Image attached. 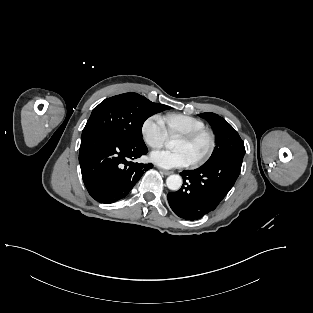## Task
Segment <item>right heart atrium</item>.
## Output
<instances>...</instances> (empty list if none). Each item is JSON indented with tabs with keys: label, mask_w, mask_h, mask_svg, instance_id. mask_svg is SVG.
Returning <instances> with one entry per match:
<instances>
[{
	"label": "right heart atrium",
	"mask_w": 313,
	"mask_h": 313,
	"mask_svg": "<svg viewBox=\"0 0 313 313\" xmlns=\"http://www.w3.org/2000/svg\"><path fill=\"white\" fill-rule=\"evenodd\" d=\"M141 135L150 148H160L168 139V132L161 116L152 115L144 120L141 126Z\"/></svg>",
	"instance_id": "1"
}]
</instances>
